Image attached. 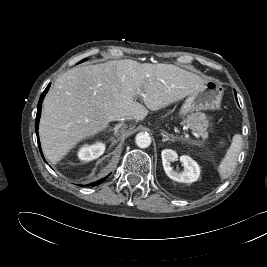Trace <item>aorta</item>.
Here are the masks:
<instances>
[{
    "label": "aorta",
    "mask_w": 267,
    "mask_h": 267,
    "mask_svg": "<svg viewBox=\"0 0 267 267\" xmlns=\"http://www.w3.org/2000/svg\"><path fill=\"white\" fill-rule=\"evenodd\" d=\"M135 143L140 148H147L151 144V137L148 133L140 132L135 137Z\"/></svg>",
    "instance_id": "1"
}]
</instances>
